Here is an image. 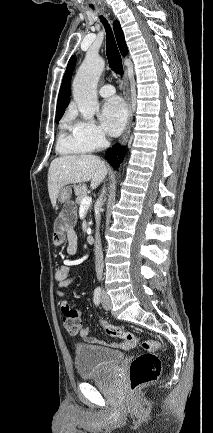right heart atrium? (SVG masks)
Instances as JSON below:
<instances>
[{"label": "right heart atrium", "mask_w": 213, "mask_h": 433, "mask_svg": "<svg viewBox=\"0 0 213 433\" xmlns=\"http://www.w3.org/2000/svg\"><path fill=\"white\" fill-rule=\"evenodd\" d=\"M75 133L86 142L92 150L103 148L107 143L104 131L93 122L75 120L73 122Z\"/></svg>", "instance_id": "d8ad5b80"}]
</instances>
